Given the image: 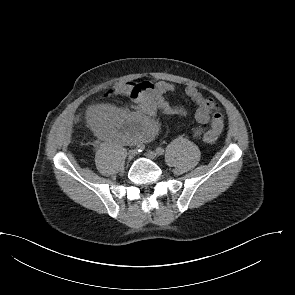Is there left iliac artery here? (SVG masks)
<instances>
[{"label":"left iliac artery","mask_w":295,"mask_h":295,"mask_svg":"<svg viewBox=\"0 0 295 295\" xmlns=\"http://www.w3.org/2000/svg\"><path fill=\"white\" fill-rule=\"evenodd\" d=\"M156 153H157L159 156H161V155L164 154V149H163L162 147H158V148H156Z\"/></svg>","instance_id":"1"}]
</instances>
